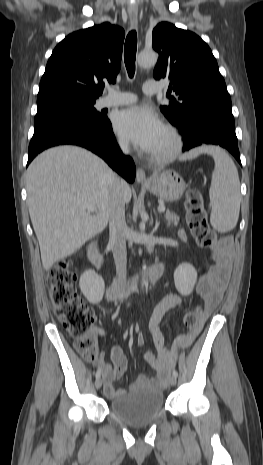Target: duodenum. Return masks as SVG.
<instances>
[{"label": "duodenum", "mask_w": 263, "mask_h": 465, "mask_svg": "<svg viewBox=\"0 0 263 465\" xmlns=\"http://www.w3.org/2000/svg\"><path fill=\"white\" fill-rule=\"evenodd\" d=\"M87 255L97 270H102L104 266V256L98 244L92 243L87 248ZM164 269V264L158 262L153 264L144 274H136L127 280L117 279L108 288V295L111 298H121L132 290L138 289L143 282L153 283L159 279Z\"/></svg>", "instance_id": "obj_1"}]
</instances>
